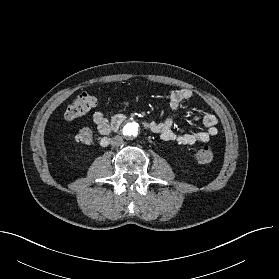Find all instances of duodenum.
Returning a JSON list of instances; mask_svg holds the SVG:
<instances>
[{"mask_svg": "<svg viewBox=\"0 0 279 279\" xmlns=\"http://www.w3.org/2000/svg\"><path fill=\"white\" fill-rule=\"evenodd\" d=\"M125 119H126V117L124 115L116 116L111 123L110 131L117 130L121 126V124L125 121ZM109 141H110V138L108 136H104V137H102L100 144H101V146L106 147V146H108Z\"/></svg>", "mask_w": 279, "mask_h": 279, "instance_id": "duodenum-1", "label": "duodenum"}]
</instances>
